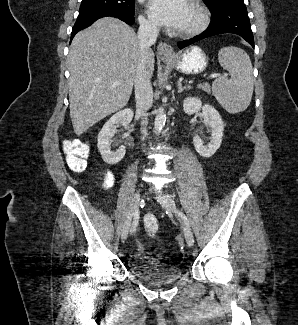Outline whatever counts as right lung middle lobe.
I'll return each mask as SVG.
<instances>
[{"label":"right lung middle lobe","instance_id":"right-lung-middle-lobe-1","mask_svg":"<svg viewBox=\"0 0 298 325\" xmlns=\"http://www.w3.org/2000/svg\"><path fill=\"white\" fill-rule=\"evenodd\" d=\"M135 0H82L78 17L93 15L103 10H112L134 15Z\"/></svg>","mask_w":298,"mask_h":325}]
</instances>
